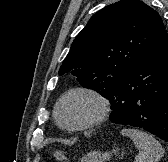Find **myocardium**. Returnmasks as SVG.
Returning a JSON list of instances; mask_svg holds the SVG:
<instances>
[{"mask_svg": "<svg viewBox=\"0 0 168 162\" xmlns=\"http://www.w3.org/2000/svg\"><path fill=\"white\" fill-rule=\"evenodd\" d=\"M72 97H85L90 99L91 101L94 102L96 106V111L91 117H89L88 119L77 125H66L62 123L60 119V108L66 100ZM109 111H110V102L106 96H104L103 94L92 88L77 87L70 89L58 99L54 107V118L57 125L64 130L82 131L102 123L108 116Z\"/></svg>", "mask_w": 168, "mask_h": 162, "instance_id": "f54148a6", "label": "myocardium"}]
</instances>
